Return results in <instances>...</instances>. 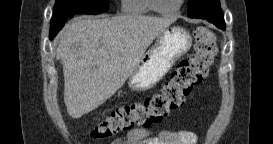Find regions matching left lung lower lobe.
I'll return each mask as SVG.
<instances>
[{
  "instance_id": "1",
  "label": "left lung lower lobe",
  "mask_w": 273,
  "mask_h": 144,
  "mask_svg": "<svg viewBox=\"0 0 273 144\" xmlns=\"http://www.w3.org/2000/svg\"><path fill=\"white\" fill-rule=\"evenodd\" d=\"M207 3H212V0H205ZM195 18L206 19L216 25L218 28L224 30L225 22L221 8L211 7V9L198 14Z\"/></svg>"
}]
</instances>
